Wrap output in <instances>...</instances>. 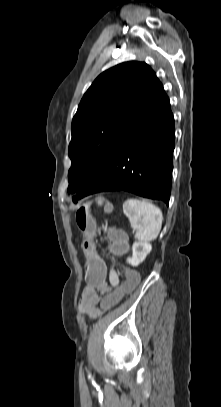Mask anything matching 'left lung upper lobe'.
Segmentation results:
<instances>
[{"instance_id": "1", "label": "left lung upper lobe", "mask_w": 221, "mask_h": 407, "mask_svg": "<svg viewBox=\"0 0 221 407\" xmlns=\"http://www.w3.org/2000/svg\"><path fill=\"white\" fill-rule=\"evenodd\" d=\"M160 81L141 62H125L100 74L84 94L72 120L68 192L73 200L112 157L126 128Z\"/></svg>"}]
</instances>
